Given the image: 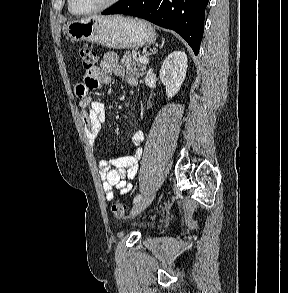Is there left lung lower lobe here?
I'll return each mask as SVG.
<instances>
[{"mask_svg": "<svg viewBox=\"0 0 288 293\" xmlns=\"http://www.w3.org/2000/svg\"><path fill=\"white\" fill-rule=\"evenodd\" d=\"M209 0H120L103 15L125 14L146 19L181 35L198 54Z\"/></svg>", "mask_w": 288, "mask_h": 293, "instance_id": "left-lung-lower-lobe-1", "label": "left lung lower lobe"}]
</instances>
